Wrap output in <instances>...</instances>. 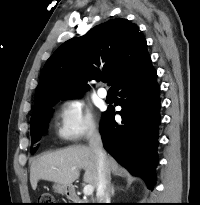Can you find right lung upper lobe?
<instances>
[{"label": "right lung upper lobe", "mask_w": 200, "mask_h": 205, "mask_svg": "<svg viewBox=\"0 0 200 205\" xmlns=\"http://www.w3.org/2000/svg\"><path fill=\"white\" fill-rule=\"evenodd\" d=\"M150 60L147 43L138 27L127 19H112L86 35L62 44L47 60L34 98V112L47 101L77 97L87 81L110 75V85L133 74Z\"/></svg>", "instance_id": "cb5924a9"}]
</instances>
